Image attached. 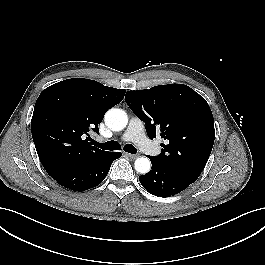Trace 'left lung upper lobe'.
Masks as SVG:
<instances>
[{
  "instance_id": "5c2ea615",
  "label": "left lung upper lobe",
  "mask_w": 265,
  "mask_h": 265,
  "mask_svg": "<svg viewBox=\"0 0 265 265\" xmlns=\"http://www.w3.org/2000/svg\"><path fill=\"white\" fill-rule=\"evenodd\" d=\"M125 101L145 122L150 139L157 133L168 141L153 159L196 180L215 139L214 119L206 100L186 85L168 84L128 91Z\"/></svg>"
}]
</instances>
